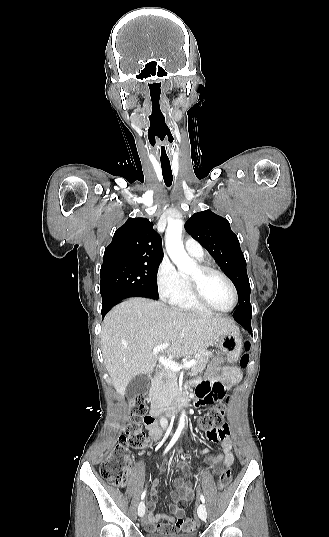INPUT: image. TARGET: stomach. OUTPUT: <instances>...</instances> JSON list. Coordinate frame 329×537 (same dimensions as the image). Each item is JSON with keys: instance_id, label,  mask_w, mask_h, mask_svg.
<instances>
[{"instance_id": "obj_1", "label": "stomach", "mask_w": 329, "mask_h": 537, "mask_svg": "<svg viewBox=\"0 0 329 537\" xmlns=\"http://www.w3.org/2000/svg\"><path fill=\"white\" fill-rule=\"evenodd\" d=\"M219 348L226 354L227 361H238L242 351V338L238 327L223 333L218 340Z\"/></svg>"}]
</instances>
